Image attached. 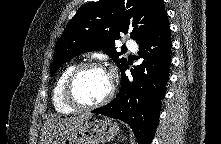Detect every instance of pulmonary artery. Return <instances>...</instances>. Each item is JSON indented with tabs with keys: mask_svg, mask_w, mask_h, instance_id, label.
I'll return each mask as SVG.
<instances>
[{
	"mask_svg": "<svg viewBox=\"0 0 221 144\" xmlns=\"http://www.w3.org/2000/svg\"><path fill=\"white\" fill-rule=\"evenodd\" d=\"M126 45L130 50H132L134 52L137 50V44L132 39L127 40Z\"/></svg>",
	"mask_w": 221,
	"mask_h": 144,
	"instance_id": "e3ab8cb5",
	"label": "pulmonary artery"
}]
</instances>
